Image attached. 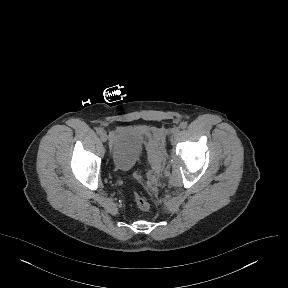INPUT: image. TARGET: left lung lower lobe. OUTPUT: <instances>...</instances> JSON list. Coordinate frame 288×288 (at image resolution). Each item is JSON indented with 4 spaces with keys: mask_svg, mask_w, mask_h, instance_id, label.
I'll return each instance as SVG.
<instances>
[{
    "mask_svg": "<svg viewBox=\"0 0 288 288\" xmlns=\"http://www.w3.org/2000/svg\"><path fill=\"white\" fill-rule=\"evenodd\" d=\"M266 201L263 198H259L252 210L249 212L251 215L254 211H259V215L256 217V219L251 223V225L258 229L262 227V224L265 220V212L264 210L266 209Z\"/></svg>",
    "mask_w": 288,
    "mask_h": 288,
    "instance_id": "obj_1",
    "label": "left lung lower lobe"
}]
</instances>
